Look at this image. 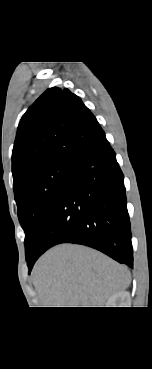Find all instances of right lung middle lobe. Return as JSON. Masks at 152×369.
Here are the masks:
<instances>
[{
  "mask_svg": "<svg viewBox=\"0 0 152 369\" xmlns=\"http://www.w3.org/2000/svg\"><path fill=\"white\" fill-rule=\"evenodd\" d=\"M72 162L59 161L26 175L14 188L18 217L25 232L28 260L64 185Z\"/></svg>",
  "mask_w": 152,
  "mask_h": 369,
  "instance_id": "right-lung-middle-lobe-1",
  "label": "right lung middle lobe"
}]
</instances>
